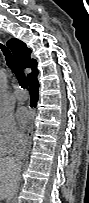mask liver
<instances>
[{
    "label": "liver",
    "instance_id": "liver-1",
    "mask_svg": "<svg viewBox=\"0 0 89 203\" xmlns=\"http://www.w3.org/2000/svg\"><path fill=\"white\" fill-rule=\"evenodd\" d=\"M18 162L7 156L0 158V198L8 199L13 196L14 188L19 179Z\"/></svg>",
    "mask_w": 89,
    "mask_h": 203
}]
</instances>
